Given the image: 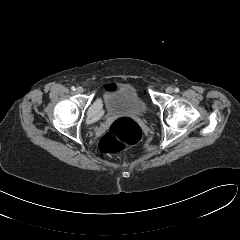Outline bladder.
<instances>
[{
    "mask_svg": "<svg viewBox=\"0 0 240 240\" xmlns=\"http://www.w3.org/2000/svg\"><path fill=\"white\" fill-rule=\"evenodd\" d=\"M102 102L107 116L132 115L143 117L147 105L136 87L130 84L115 85L106 90Z\"/></svg>",
    "mask_w": 240,
    "mask_h": 240,
    "instance_id": "1",
    "label": "bladder"
}]
</instances>
